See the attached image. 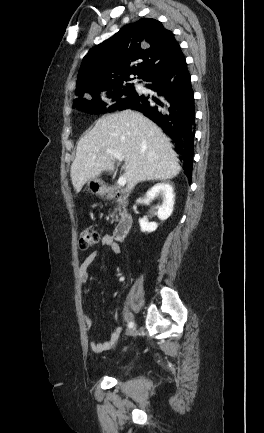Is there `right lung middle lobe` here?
Listing matches in <instances>:
<instances>
[{
  "instance_id": "right-lung-middle-lobe-1",
  "label": "right lung middle lobe",
  "mask_w": 264,
  "mask_h": 433,
  "mask_svg": "<svg viewBox=\"0 0 264 433\" xmlns=\"http://www.w3.org/2000/svg\"><path fill=\"white\" fill-rule=\"evenodd\" d=\"M106 97L113 102L111 106L100 100V94H95L87 98L75 101L73 108H78L81 111L91 114H103L106 112L122 109L128 102L133 100L138 94L135 91L133 84H126L124 87L118 86L114 89L104 92Z\"/></svg>"
}]
</instances>
